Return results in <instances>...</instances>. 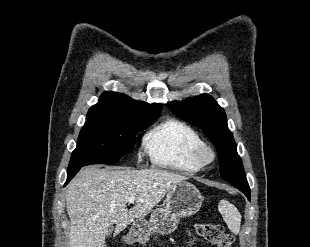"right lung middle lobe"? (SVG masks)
I'll return each instance as SVG.
<instances>
[{"mask_svg": "<svg viewBox=\"0 0 310 247\" xmlns=\"http://www.w3.org/2000/svg\"><path fill=\"white\" fill-rule=\"evenodd\" d=\"M158 117L135 120L87 116L68 170L91 164H116L132 147L136 134L153 124Z\"/></svg>", "mask_w": 310, "mask_h": 247, "instance_id": "dd1d6c3e", "label": "right lung middle lobe"}]
</instances>
